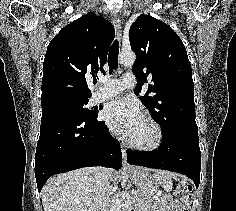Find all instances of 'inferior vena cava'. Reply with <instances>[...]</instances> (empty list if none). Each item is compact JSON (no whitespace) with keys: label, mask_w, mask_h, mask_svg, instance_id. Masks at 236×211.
<instances>
[{"label":"inferior vena cava","mask_w":236,"mask_h":211,"mask_svg":"<svg viewBox=\"0 0 236 211\" xmlns=\"http://www.w3.org/2000/svg\"><path fill=\"white\" fill-rule=\"evenodd\" d=\"M96 172V190L92 197V211H108L109 179L107 169L98 167Z\"/></svg>","instance_id":"obj_1"}]
</instances>
